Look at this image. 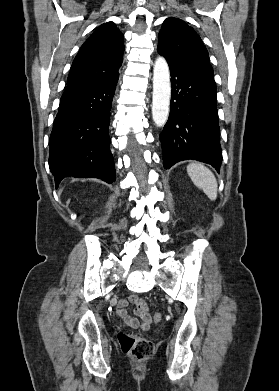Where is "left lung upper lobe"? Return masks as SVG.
Wrapping results in <instances>:
<instances>
[{
	"instance_id": "5c2ea615",
	"label": "left lung upper lobe",
	"mask_w": 279,
	"mask_h": 391,
	"mask_svg": "<svg viewBox=\"0 0 279 391\" xmlns=\"http://www.w3.org/2000/svg\"><path fill=\"white\" fill-rule=\"evenodd\" d=\"M157 51L169 65L185 69L216 87L208 51L199 35L184 21L177 18L164 21Z\"/></svg>"
}]
</instances>
